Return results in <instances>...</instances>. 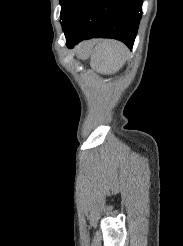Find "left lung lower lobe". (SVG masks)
<instances>
[{"mask_svg":"<svg viewBox=\"0 0 183 246\" xmlns=\"http://www.w3.org/2000/svg\"><path fill=\"white\" fill-rule=\"evenodd\" d=\"M143 0H73L62 22L66 45L90 38H114L132 48Z\"/></svg>","mask_w":183,"mask_h":246,"instance_id":"left-lung-lower-lobe-1","label":"left lung lower lobe"}]
</instances>
